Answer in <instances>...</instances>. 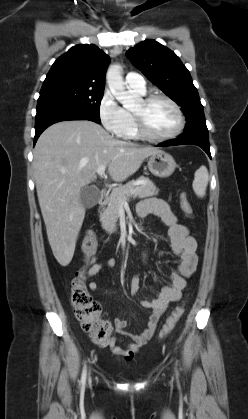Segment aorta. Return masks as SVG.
<instances>
[{
    "label": "aorta",
    "instance_id": "aorta-1",
    "mask_svg": "<svg viewBox=\"0 0 248 419\" xmlns=\"http://www.w3.org/2000/svg\"><path fill=\"white\" fill-rule=\"evenodd\" d=\"M110 91L115 98L126 108L132 109L138 100L137 96L126 91L122 77V67L118 64L110 65L106 74Z\"/></svg>",
    "mask_w": 248,
    "mask_h": 419
}]
</instances>
